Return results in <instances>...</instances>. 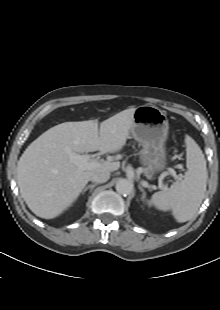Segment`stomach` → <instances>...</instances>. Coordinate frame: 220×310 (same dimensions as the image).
Segmentation results:
<instances>
[{
  "label": "stomach",
  "mask_w": 220,
  "mask_h": 310,
  "mask_svg": "<svg viewBox=\"0 0 220 310\" xmlns=\"http://www.w3.org/2000/svg\"><path fill=\"white\" fill-rule=\"evenodd\" d=\"M169 123L165 113L152 105H141L135 109L130 132L141 145L140 161L147 172L159 173L168 164L166 139Z\"/></svg>",
  "instance_id": "stomach-1"
}]
</instances>
